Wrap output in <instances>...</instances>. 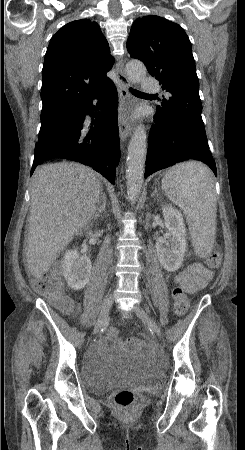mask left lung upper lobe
Here are the masks:
<instances>
[{
    "mask_svg": "<svg viewBox=\"0 0 245 450\" xmlns=\"http://www.w3.org/2000/svg\"><path fill=\"white\" fill-rule=\"evenodd\" d=\"M127 50L171 94L157 106V113L186 124L206 138L192 47L182 27L159 16L138 18L132 25Z\"/></svg>",
    "mask_w": 245,
    "mask_h": 450,
    "instance_id": "5c2ea615",
    "label": "left lung upper lobe"
}]
</instances>
